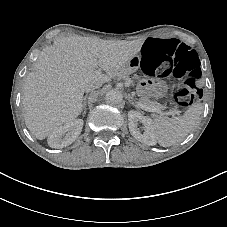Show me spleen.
<instances>
[{"instance_id":"obj_1","label":"spleen","mask_w":227,"mask_h":227,"mask_svg":"<svg viewBox=\"0 0 227 227\" xmlns=\"http://www.w3.org/2000/svg\"><path fill=\"white\" fill-rule=\"evenodd\" d=\"M201 109V105L195 104L181 116L155 118L153 122V133L159 145L170 147L181 143L195 127L201 115Z\"/></svg>"}]
</instances>
